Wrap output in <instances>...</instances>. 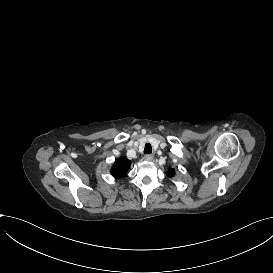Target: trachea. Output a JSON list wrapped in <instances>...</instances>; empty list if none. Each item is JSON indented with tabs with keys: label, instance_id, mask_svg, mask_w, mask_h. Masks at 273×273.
Listing matches in <instances>:
<instances>
[{
	"label": "trachea",
	"instance_id": "1",
	"mask_svg": "<svg viewBox=\"0 0 273 273\" xmlns=\"http://www.w3.org/2000/svg\"><path fill=\"white\" fill-rule=\"evenodd\" d=\"M151 152H152V147H151L150 143H146L145 148H144V153L148 154V153H151Z\"/></svg>",
	"mask_w": 273,
	"mask_h": 273
}]
</instances>
